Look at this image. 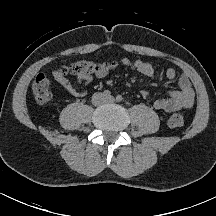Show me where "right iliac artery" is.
Here are the masks:
<instances>
[{
	"instance_id": "right-iliac-artery-1",
	"label": "right iliac artery",
	"mask_w": 216,
	"mask_h": 216,
	"mask_svg": "<svg viewBox=\"0 0 216 216\" xmlns=\"http://www.w3.org/2000/svg\"><path fill=\"white\" fill-rule=\"evenodd\" d=\"M103 96L106 97V98H109V97H111V92L109 90H105L103 92Z\"/></svg>"
}]
</instances>
